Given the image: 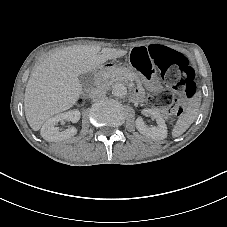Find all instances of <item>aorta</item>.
<instances>
[{"label":"aorta","instance_id":"aorta-1","mask_svg":"<svg viewBox=\"0 0 227 227\" xmlns=\"http://www.w3.org/2000/svg\"><path fill=\"white\" fill-rule=\"evenodd\" d=\"M112 94L117 98H123L127 94V87L122 83H116L112 86Z\"/></svg>","mask_w":227,"mask_h":227}]
</instances>
